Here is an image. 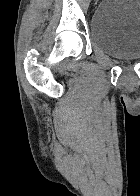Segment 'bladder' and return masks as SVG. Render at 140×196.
I'll return each instance as SVG.
<instances>
[{
  "instance_id": "1",
  "label": "bladder",
  "mask_w": 140,
  "mask_h": 196,
  "mask_svg": "<svg viewBox=\"0 0 140 196\" xmlns=\"http://www.w3.org/2000/svg\"><path fill=\"white\" fill-rule=\"evenodd\" d=\"M90 38L107 55L140 59V0H102L90 21Z\"/></svg>"
}]
</instances>
